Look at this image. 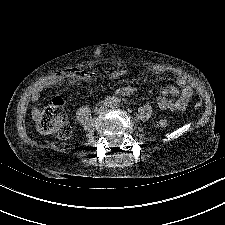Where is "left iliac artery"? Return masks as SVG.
I'll use <instances>...</instances> for the list:
<instances>
[{"label": "left iliac artery", "instance_id": "1", "mask_svg": "<svg viewBox=\"0 0 225 225\" xmlns=\"http://www.w3.org/2000/svg\"><path fill=\"white\" fill-rule=\"evenodd\" d=\"M119 104H120V100L119 99H115L114 106H119Z\"/></svg>", "mask_w": 225, "mask_h": 225}]
</instances>
